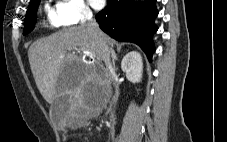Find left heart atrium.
I'll list each match as a JSON object with an SVG mask.
<instances>
[{"label": "left heart atrium", "mask_w": 227, "mask_h": 142, "mask_svg": "<svg viewBox=\"0 0 227 142\" xmlns=\"http://www.w3.org/2000/svg\"><path fill=\"white\" fill-rule=\"evenodd\" d=\"M89 3L94 9L99 10L105 6L106 0H89Z\"/></svg>", "instance_id": "39dd6f15"}]
</instances>
